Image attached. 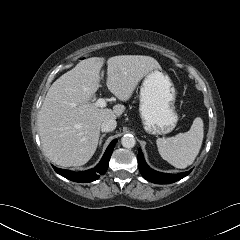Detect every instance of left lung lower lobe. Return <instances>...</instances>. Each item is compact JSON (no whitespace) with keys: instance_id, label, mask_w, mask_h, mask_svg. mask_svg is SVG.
<instances>
[{"instance_id":"1","label":"left lung lower lobe","mask_w":240,"mask_h":240,"mask_svg":"<svg viewBox=\"0 0 240 240\" xmlns=\"http://www.w3.org/2000/svg\"><path fill=\"white\" fill-rule=\"evenodd\" d=\"M138 166L141 175L148 181L157 183V184H168V183H173L176 182L188 174H190V171L179 173V174H166V173H161L157 172L153 169H151L145 162L143 154L141 150L139 149L138 152Z\"/></svg>"}]
</instances>
